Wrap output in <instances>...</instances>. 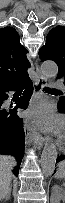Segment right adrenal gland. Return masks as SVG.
Wrapping results in <instances>:
<instances>
[{
  "label": "right adrenal gland",
  "instance_id": "1",
  "mask_svg": "<svg viewBox=\"0 0 65 203\" xmlns=\"http://www.w3.org/2000/svg\"><path fill=\"white\" fill-rule=\"evenodd\" d=\"M11 197V192H9V194L4 198V201H8L10 200ZM3 200V199H2Z\"/></svg>",
  "mask_w": 65,
  "mask_h": 203
}]
</instances>
